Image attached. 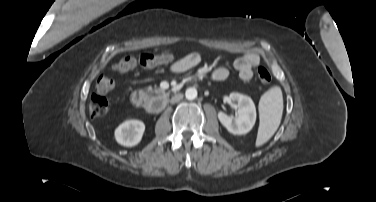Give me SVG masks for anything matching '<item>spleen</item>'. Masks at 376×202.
<instances>
[{
	"label": "spleen",
	"mask_w": 376,
	"mask_h": 202,
	"mask_svg": "<svg viewBox=\"0 0 376 202\" xmlns=\"http://www.w3.org/2000/svg\"><path fill=\"white\" fill-rule=\"evenodd\" d=\"M283 112V98L280 87H273L264 93L259 102L260 125L256 146L266 143L280 125Z\"/></svg>",
	"instance_id": "3e777b00"
}]
</instances>
